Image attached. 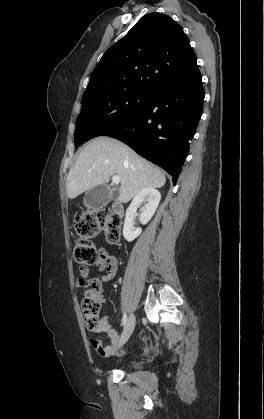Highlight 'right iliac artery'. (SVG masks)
Instances as JSON below:
<instances>
[{
	"mask_svg": "<svg viewBox=\"0 0 264 419\" xmlns=\"http://www.w3.org/2000/svg\"><path fill=\"white\" fill-rule=\"evenodd\" d=\"M126 321H127V315L124 314L123 317H122V326H124L126 324Z\"/></svg>",
	"mask_w": 264,
	"mask_h": 419,
	"instance_id": "82829eb1",
	"label": "right iliac artery"
}]
</instances>
